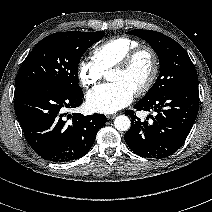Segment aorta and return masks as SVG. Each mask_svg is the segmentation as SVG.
Returning a JSON list of instances; mask_svg holds the SVG:
<instances>
[{
	"instance_id": "762f6f07",
	"label": "aorta",
	"mask_w": 212,
	"mask_h": 212,
	"mask_svg": "<svg viewBox=\"0 0 212 212\" xmlns=\"http://www.w3.org/2000/svg\"><path fill=\"white\" fill-rule=\"evenodd\" d=\"M114 126L119 131H127L131 126V121L127 116L119 115L114 120Z\"/></svg>"
}]
</instances>
